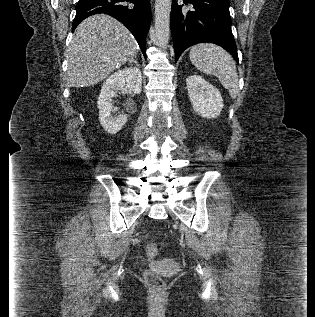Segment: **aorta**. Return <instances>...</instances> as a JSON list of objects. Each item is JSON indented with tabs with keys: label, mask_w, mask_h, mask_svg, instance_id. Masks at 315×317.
<instances>
[{
	"label": "aorta",
	"mask_w": 315,
	"mask_h": 317,
	"mask_svg": "<svg viewBox=\"0 0 315 317\" xmlns=\"http://www.w3.org/2000/svg\"><path fill=\"white\" fill-rule=\"evenodd\" d=\"M171 5V0H155V33L162 47H166L170 38Z\"/></svg>",
	"instance_id": "762f6f07"
}]
</instances>
